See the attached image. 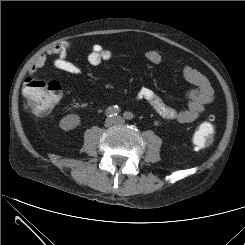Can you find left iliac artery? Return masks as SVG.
Returning <instances> with one entry per match:
<instances>
[{
    "mask_svg": "<svg viewBox=\"0 0 245 245\" xmlns=\"http://www.w3.org/2000/svg\"><path fill=\"white\" fill-rule=\"evenodd\" d=\"M123 116H124L125 119H128V120L133 119V114L131 112H125L123 114Z\"/></svg>",
    "mask_w": 245,
    "mask_h": 245,
    "instance_id": "44dca946",
    "label": "left iliac artery"
}]
</instances>
